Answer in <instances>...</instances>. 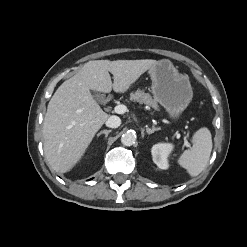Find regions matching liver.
<instances>
[{"mask_svg":"<svg viewBox=\"0 0 247 247\" xmlns=\"http://www.w3.org/2000/svg\"><path fill=\"white\" fill-rule=\"evenodd\" d=\"M156 63L152 59L89 61L59 86L43 122L44 152L56 172H68L78 163L109 118L91 91L124 93Z\"/></svg>","mask_w":247,"mask_h":247,"instance_id":"6515ba94","label":"liver"}]
</instances>
